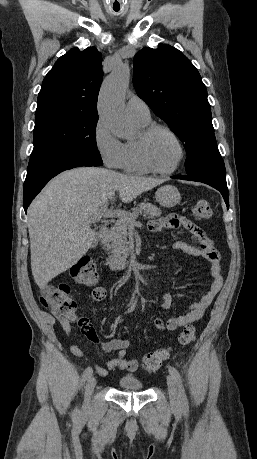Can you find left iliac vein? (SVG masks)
Masks as SVG:
<instances>
[{"label": "left iliac vein", "mask_w": 257, "mask_h": 459, "mask_svg": "<svg viewBox=\"0 0 257 459\" xmlns=\"http://www.w3.org/2000/svg\"><path fill=\"white\" fill-rule=\"evenodd\" d=\"M167 386H168L170 404H171L172 408L179 409L180 408V399H179V395H178V390H177V386H176L175 380L171 375H169L167 377Z\"/></svg>", "instance_id": "1"}]
</instances>
